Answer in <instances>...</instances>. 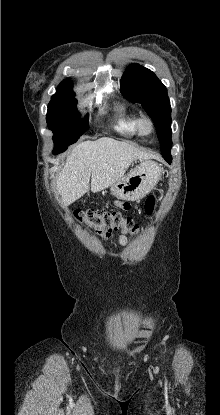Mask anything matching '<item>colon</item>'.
<instances>
[{"label":"colon","instance_id":"colon-1","mask_svg":"<svg viewBox=\"0 0 220 415\" xmlns=\"http://www.w3.org/2000/svg\"><path fill=\"white\" fill-rule=\"evenodd\" d=\"M124 209L129 204L124 202ZM155 199L150 196L144 206L147 214L153 212ZM76 220L93 228L98 234H110L111 231H121L131 237L139 236L140 228L131 218L115 210H77L74 212Z\"/></svg>","mask_w":220,"mask_h":415}]
</instances>
